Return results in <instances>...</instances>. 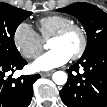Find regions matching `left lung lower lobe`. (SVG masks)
Segmentation results:
<instances>
[{
	"instance_id": "obj_1",
	"label": "left lung lower lobe",
	"mask_w": 107,
	"mask_h": 107,
	"mask_svg": "<svg viewBox=\"0 0 107 107\" xmlns=\"http://www.w3.org/2000/svg\"><path fill=\"white\" fill-rule=\"evenodd\" d=\"M79 66L84 68L83 74ZM67 72L68 81L60 90L67 107L107 106V47L80 58Z\"/></svg>"
}]
</instances>
